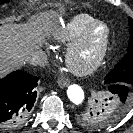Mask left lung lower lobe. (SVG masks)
Returning a JSON list of instances; mask_svg holds the SVG:
<instances>
[{
    "label": "left lung lower lobe",
    "instance_id": "obj_1",
    "mask_svg": "<svg viewBox=\"0 0 133 133\" xmlns=\"http://www.w3.org/2000/svg\"><path fill=\"white\" fill-rule=\"evenodd\" d=\"M108 89L111 94H113L114 97H117L118 99V101H116L114 97L109 98V101L112 103V106L127 108L128 96L130 93L133 92V88L124 84H110Z\"/></svg>",
    "mask_w": 133,
    "mask_h": 133
}]
</instances>
